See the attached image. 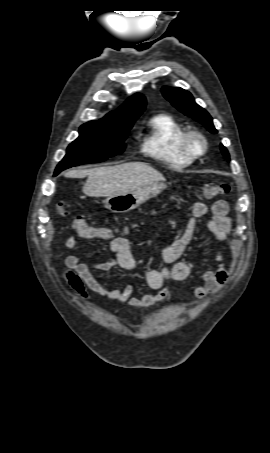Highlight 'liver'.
I'll use <instances>...</instances> for the list:
<instances>
[{
  "instance_id": "1",
  "label": "liver",
  "mask_w": 270,
  "mask_h": 453,
  "mask_svg": "<svg viewBox=\"0 0 270 453\" xmlns=\"http://www.w3.org/2000/svg\"><path fill=\"white\" fill-rule=\"evenodd\" d=\"M68 178L88 176L83 193L90 197H109L126 194L153 183L165 181L163 175L142 162H128L89 170H70Z\"/></svg>"
}]
</instances>
